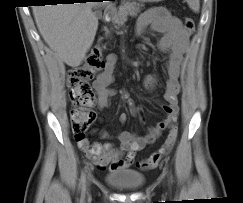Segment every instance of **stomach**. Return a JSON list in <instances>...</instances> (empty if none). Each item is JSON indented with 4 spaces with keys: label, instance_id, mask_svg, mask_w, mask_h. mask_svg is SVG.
<instances>
[{
    "label": "stomach",
    "instance_id": "0dacf381",
    "mask_svg": "<svg viewBox=\"0 0 243 203\" xmlns=\"http://www.w3.org/2000/svg\"><path fill=\"white\" fill-rule=\"evenodd\" d=\"M143 2H161L163 0H142Z\"/></svg>",
    "mask_w": 243,
    "mask_h": 203
}]
</instances>
